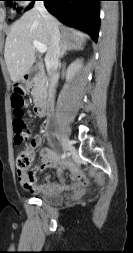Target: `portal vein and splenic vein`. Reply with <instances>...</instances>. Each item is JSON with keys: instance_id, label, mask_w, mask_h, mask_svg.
Returning a JSON list of instances; mask_svg holds the SVG:
<instances>
[{"instance_id": "18ae733b", "label": "portal vein and splenic vein", "mask_w": 133, "mask_h": 253, "mask_svg": "<svg viewBox=\"0 0 133 253\" xmlns=\"http://www.w3.org/2000/svg\"><path fill=\"white\" fill-rule=\"evenodd\" d=\"M33 46L40 52L45 53L47 51V46L45 44H42L41 42L34 40Z\"/></svg>"}]
</instances>
